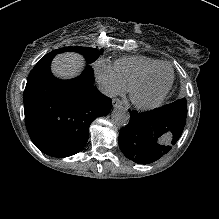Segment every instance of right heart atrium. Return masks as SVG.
I'll return each instance as SVG.
<instances>
[{
  "label": "right heart atrium",
  "instance_id": "d8ad5b80",
  "mask_svg": "<svg viewBox=\"0 0 219 219\" xmlns=\"http://www.w3.org/2000/svg\"><path fill=\"white\" fill-rule=\"evenodd\" d=\"M96 79L104 90L110 96L123 93L124 84L116 77L113 68L106 61H99L95 66Z\"/></svg>",
  "mask_w": 219,
  "mask_h": 219
}]
</instances>
